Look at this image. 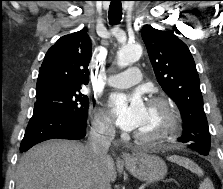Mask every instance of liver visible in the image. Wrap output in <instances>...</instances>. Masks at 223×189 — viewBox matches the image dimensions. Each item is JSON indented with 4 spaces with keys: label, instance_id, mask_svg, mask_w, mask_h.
<instances>
[{
    "label": "liver",
    "instance_id": "liver-1",
    "mask_svg": "<svg viewBox=\"0 0 223 189\" xmlns=\"http://www.w3.org/2000/svg\"><path fill=\"white\" fill-rule=\"evenodd\" d=\"M100 169L113 182V159L100 164L86 146L71 140H49L38 144L20 159L16 189H93V178Z\"/></svg>",
    "mask_w": 223,
    "mask_h": 189
}]
</instances>
